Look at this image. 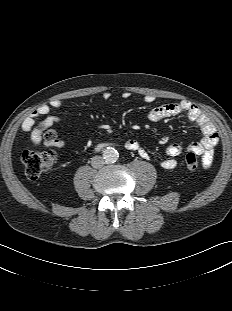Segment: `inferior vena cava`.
Segmentation results:
<instances>
[{
    "instance_id": "inferior-vena-cava-1",
    "label": "inferior vena cava",
    "mask_w": 232,
    "mask_h": 311,
    "mask_svg": "<svg viewBox=\"0 0 232 311\" xmlns=\"http://www.w3.org/2000/svg\"><path fill=\"white\" fill-rule=\"evenodd\" d=\"M105 164L104 159L101 156H94L91 159V165L93 168L99 169Z\"/></svg>"
}]
</instances>
